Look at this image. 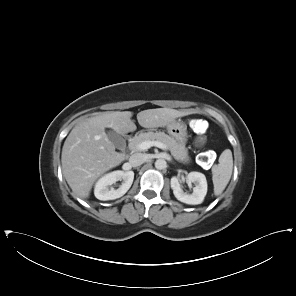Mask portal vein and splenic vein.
Returning <instances> with one entry per match:
<instances>
[{"label":"portal vein and splenic vein","mask_w":296,"mask_h":296,"mask_svg":"<svg viewBox=\"0 0 296 296\" xmlns=\"http://www.w3.org/2000/svg\"><path fill=\"white\" fill-rule=\"evenodd\" d=\"M152 146H156L162 150H167L166 145H164L163 143L159 142V141H143L142 143H140L138 145V150L143 151V150H147Z\"/></svg>","instance_id":"1"}]
</instances>
